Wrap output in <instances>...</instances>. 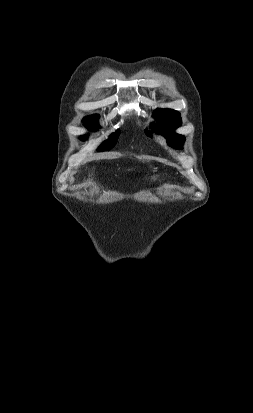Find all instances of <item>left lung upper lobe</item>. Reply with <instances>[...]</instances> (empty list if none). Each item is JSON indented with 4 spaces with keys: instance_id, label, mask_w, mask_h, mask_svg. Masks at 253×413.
<instances>
[{
    "instance_id": "obj_1",
    "label": "left lung upper lobe",
    "mask_w": 253,
    "mask_h": 413,
    "mask_svg": "<svg viewBox=\"0 0 253 413\" xmlns=\"http://www.w3.org/2000/svg\"><path fill=\"white\" fill-rule=\"evenodd\" d=\"M153 116L157 120L156 125L153 127L154 131L166 136L170 146L177 149L181 148L185 137L173 132L181 125L180 113L173 109H156ZM146 134L150 135L148 131H146Z\"/></svg>"
}]
</instances>
